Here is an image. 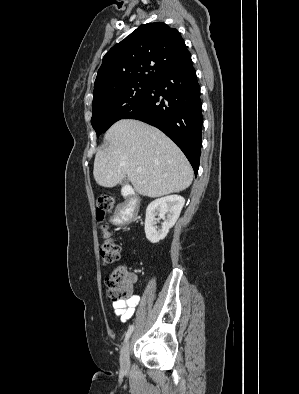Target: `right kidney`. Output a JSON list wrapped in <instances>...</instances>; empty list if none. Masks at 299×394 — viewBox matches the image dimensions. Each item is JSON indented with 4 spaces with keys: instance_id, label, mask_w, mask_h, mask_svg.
Segmentation results:
<instances>
[{
    "instance_id": "1",
    "label": "right kidney",
    "mask_w": 299,
    "mask_h": 394,
    "mask_svg": "<svg viewBox=\"0 0 299 394\" xmlns=\"http://www.w3.org/2000/svg\"><path fill=\"white\" fill-rule=\"evenodd\" d=\"M184 204L185 199L182 196L169 195L156 199L148 205L145 218V234L151 243H158L167 236L169 229L174 226L179 218ZM156 216L164 220L162 228L158 231Z\"/></svg>"
}]
</instances>
